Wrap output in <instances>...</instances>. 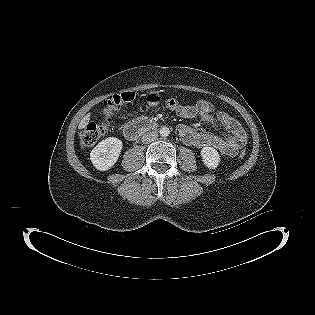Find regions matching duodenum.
I'll return each mask as SVG.
<instances>
[{"label": "duodenum", "mask_w": 315, "mask_h": 315, "mask_svg": "<svg viewBox=\"0 0 315 315\" xmlns=\"http://www.w3.org/2000/svg\"><path fill=\"white\" fill-rule=\"evenodd\" d=\"M156 128V124L147 119V118H140L134 120L132 122L127 123L122 128V135L127 140H136L142 133L153 130Z\"/></svg>", "instance_id": "obj_1"}]
</instances>
